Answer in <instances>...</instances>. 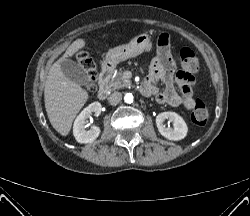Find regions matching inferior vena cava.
I'll list each match as a JSON object with an SVG mask.
<instances>
[{
	"label": "inferior vena cava",
	"mask_w": 250,
	"mask_h": 216,
	"mask_svg": "<svg viewBox=\"0 0 250 216\" xmlns=\"http://www.w3.org/2000/svg\"><path fill=\"white\" fill-rule=\"evenodd\" d=\"M108 100L111 105H117L122 100V94L114 92L109 96Z\"/></svg>",
	"instance_id": "602c4592"
}]
</instances>
